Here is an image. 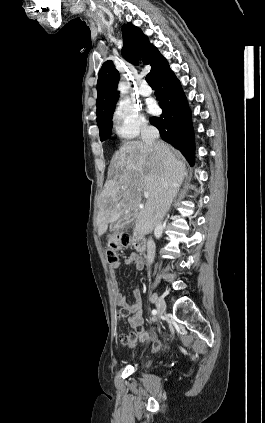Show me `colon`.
Instances as JSON below:
<instances>
[{"label": "colon", "instance_id": "colon-1", "mask_svg": "<svg viewBox=\"0 0 265 423\" xmlns=\"http://www.w3.org/2000/svg\"><path fill=\"white\" fill-rule=\"evenodd\" d=\"M130 236L125 232H113L109 236L105 255L109 264L118 262V251L129 246Z\"/></svg>", "mask_w": 265, "mask_h": 423}]
</instances>
